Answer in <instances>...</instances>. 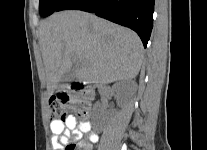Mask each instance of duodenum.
<instances>
[{"label":"duodenum","instance_id":"410a0bca","mask_svg":"<svg viewBox=\"0 0 207 150\" xmlns=\"http://www.w3.org/2000/svg\"><path fill=\"white\" fill-rule=\"evenodd\" d=\"M71 88H72V90H74V91H81V92H84L85 97H86L87 99H91L92 96H93V90H92L91 88L85 86V85H84L83 83H81V82H74V83H72ZM83 113H84V115H85V112H83Z\"/></svg>","mask_w":207,"mask_h":150}]
</instances>
